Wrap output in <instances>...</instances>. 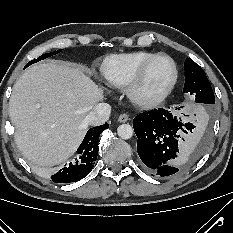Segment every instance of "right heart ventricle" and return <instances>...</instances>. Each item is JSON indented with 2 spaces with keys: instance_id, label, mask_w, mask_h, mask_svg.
Segmentation results:
<instances>
[{
  "instance_id": "e07e8e85",
  "label": "right heart ventricle",
  "mask_w": 233,
  "mask_h": 233,
  "mask_svg": "<svg viewBox=\"0 0 233 233\" xmlns=\"http://www.w3.org/2000/svg\"><path fill=\"white\" fill-rule=\"evenodd\" d=\"M155 55L157 54L148 51L111 55L102 64V78L109 87L123 89L139 67Z\"/></svg>"
}]
</instances>
